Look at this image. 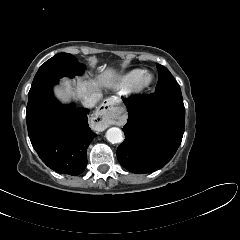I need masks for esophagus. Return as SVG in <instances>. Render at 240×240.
<instances>
[{
  "label": "esophagus",
  "mask_w": 240,
  "mask_h": 240,
  "mask_svg": "<svg viewBox=\"0 0 240 240\" xmlns=\"http://www.w3.org/2000/svg\"><path fill=\"white\" fill-rule=\"evenodd\" d=\"M120 101L111 97L103 101L100 107L95 112V119H98V124L107 128L114 123L115 106L119 105Z\"/></svg>",
  "instance_id": "obj_1"
}]
</instances>
